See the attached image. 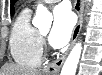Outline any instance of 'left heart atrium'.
Instances as JSON below:
<instances>
[{"label": "left heart atrium", "instance_id": "1", "mask_svg": "<svg viewBox=\"0 0 102 75\" xmlns=\"http://www.w3.org/2000/svg\"><path fill=\"white\" fill-rule=\"evenodd\" d=\"M75 19L70 9L61 4L54 10V22L49 34L50 44L55 48L64 47L70 40Z\"/></svg>", "mask_w": 102, "mask_h": 75}]
</instances>
